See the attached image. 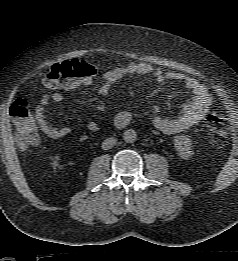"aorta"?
Instances as JSON below:
<instances>
[{
    "label": "aorta",
    "mask_w": 238,
    "mask_h": 261,
    "mask_svg": "<svg viewBox=\"0 0 238 261\" xmlns=\"http://www.w3.org/2000/svg\"><path fill=\"white\" fill-rule=\"evenodd\" d=\"M124 141L126 143H133L136 141L137 139V134H136V131L133 130V129H128L124 132Z\"/></svg>",
    "instance_id": "aorta-1"
}]
</instances>
